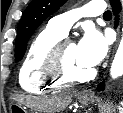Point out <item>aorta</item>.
<instances>
[{"instance_id":"aorta-1","label":"aorta","mask_w":123,"mask_h":113,"mask_svg":"<svg viewBox=\"0 0 123 113\" xmlns=\"http://www.w3.org/2000/svg\"><path fill=\"white\" fill-rule=\"evenodd\" d=\"M110 75L114 79L123 75V35L110 68Z\"/></svg>"}]
</instances>
